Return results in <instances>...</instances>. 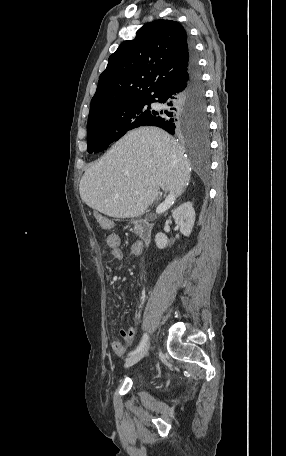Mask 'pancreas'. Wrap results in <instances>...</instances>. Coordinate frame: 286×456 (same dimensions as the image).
I'll return each instance as SVG.
<instances>
[{"label": "pancreas", "mask_w": 286, "mask_h": 456, "mask_svg": "<svg viewBox=\"0 0 286 456\" xmlns=\"http://www.w3.org/2000/svg\"><path fill=\"white\" fill-rule=\"evenodd\" d=\"M137 232H138L137 229H135V233H137Z\"/></svg>", "instance_id": "1"}]
</instances>
